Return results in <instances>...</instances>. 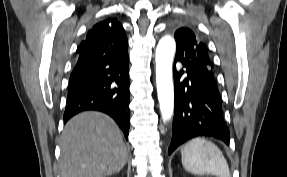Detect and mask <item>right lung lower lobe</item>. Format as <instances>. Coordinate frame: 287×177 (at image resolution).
I'll use <instances>...</instances> for the list:
<instances>
[{"mask_svg":"<svg viewBox=\"0 0 287 177\" xmlns=\"http://www.w3.org/2000/svg\"><path fill=\"white\" fill-rule=\"evenodd\" d=\"M69 80L64 123L74 115L96 110L110 115L128 137L130 91L128 41L123 33L87 34Z\"/></svg>","mask_w":287,"mask_h":177,"instance_id":"obj_1","label":"right lung lower lobe"}]
</instances>
